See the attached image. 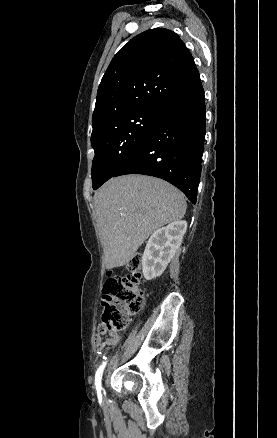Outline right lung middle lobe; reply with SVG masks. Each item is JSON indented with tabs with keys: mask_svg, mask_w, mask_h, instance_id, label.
I'll return each mask as SVG.
<instances>
[{
	"mask_svg": "<svg viewBox=\"0 0 277 438\" xmlns=\"http://www.w3.org/2000/svg\"><path fill=\"white\" fill-rule=\"evenodd\" d=\"M160 110L143 109L136 113L111 116L93 124V189L113 177L143 143Z\"/></svg>",
	"mask_w": 277,
	"mask_h": 438,
	"instance_id": "1",
	"label": "right lung middle lobe"
}]
</instances>
